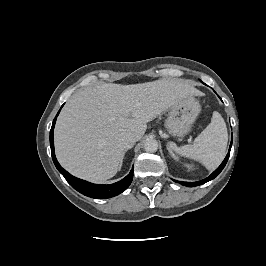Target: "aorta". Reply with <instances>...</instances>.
<instances>
[{
  "instance_id": "aorta-1",
  "label": "aorta",
  "mask_w": 266,
  "mask_h": 266,
  "mask_svg": "<svg viewBox=\"0 0 266 266\" xmlns=\"http://www.w3.org/2000/svg\"><path fill=\"white\" fill-rule=\"evenodd\" d=\"M144 150L146 152H156L158 150V142L155 139H147L144 142Z\"/></svg>"
}]
</instances>
